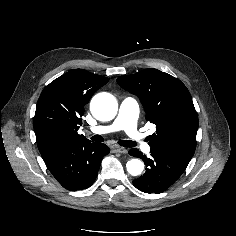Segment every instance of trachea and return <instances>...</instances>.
<instances>
[{"instance_id":"3493384b","label":"trachea","mask_w":236,"mask_h":236,"mask_svg":"<svg viewBox=\"0 0 236 236\" xmlns=\"http://www.w3.org/2000/svg\"><path fill=\"white\" fill-rule=\"evenodd\" d=\"M91 140L96 141V142H103L104 141L103 137L100 136V135L92 136ZM118 144L123 146V147H134V146H136V144L131 140H119Z\"/></svg>"}]
</instances>
